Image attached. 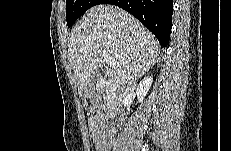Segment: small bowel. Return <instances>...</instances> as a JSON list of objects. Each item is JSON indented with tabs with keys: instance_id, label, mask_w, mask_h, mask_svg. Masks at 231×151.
Segmentation results:
<instances>
[{
	"instance_id": "1",
	"label": "small bowel",
	"mask_w": 231,
	"mask_h": 151,
	"mask_svg": "<svg viewBox=\"0 0 231 151\" xmlns=\"http://www.w3.org/2000/svg\"><path fill=\"white\" fill-rule=\"evenodd\" d=\"M108 117L98 113L89 118L88 125L94 151H112L114 130L107 125Z\"/></svg>"
}]
</instances>
